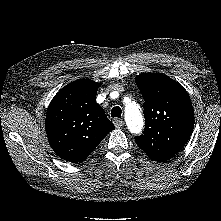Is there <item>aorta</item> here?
I'll return each instance as SVG.
<instances>
[{"instance_id": "aorta-1", "label": "aorta", "mask_w": 221, "mask_h": 221, "mask_svg": "<svg viewBox=\"0 0 221 221\" xmlns=\"http://www.w3.org/2000/svg\"><path fill=\"white\" fill-rule=\"evenodd\" d=\"M125 120L128 129L134 134L142 131L144 121L139 110V105L135 101H130L125 105Z\"/></svg>"}]
</instances>
